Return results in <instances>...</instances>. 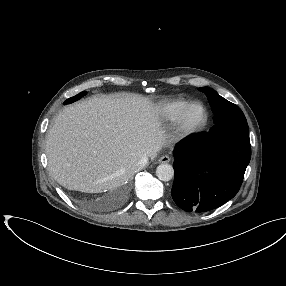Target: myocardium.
<instances>
[{
    "instance_id": "f54148a6",
    "label": "myocardium",
    "mask_w": 286,
    "mask_h": 286,
    "mask_svg": "<svg viewBox=\"0 0 286 286\" xmlns=\"http://www.w3.org/2000/svg\"><path fill=\"white\" fill-rule=\"evenodd\" d=\"M201 107L203 110V119L198 124H191L189 122V115L195 107ZM209 120V113L206 106L201 102L191 103L183 112L181 117L176 121L175 137L179 140L187 139L200 133L207 125Z\"/></svg>"
}]
</instances>
